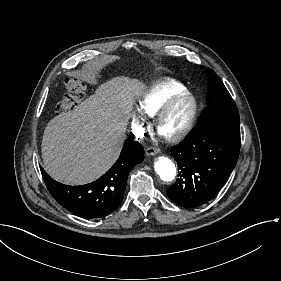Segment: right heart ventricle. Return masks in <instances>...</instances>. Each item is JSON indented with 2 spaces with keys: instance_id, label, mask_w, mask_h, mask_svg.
I'll return each mask as SVG.
<instances>
[{
  "instance_id": "1",
  "label": "right heart ventricle",
  "mask_w": 281,
  "mask_h": 281,
  "mask_svg": "<svg viewBox=\"0 0 281 281\" xmlns=\"http://www.w3.org/2000/svg\"><path fill=\"white\" fill-rule=\"evenodd\" d=\"M185 90L186 87L181 82L168 80L139 94L132 103L139 113L152 117L168 99Z\"/></svg>"
}]
</instances>
